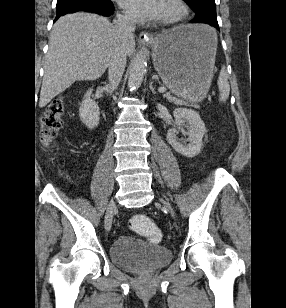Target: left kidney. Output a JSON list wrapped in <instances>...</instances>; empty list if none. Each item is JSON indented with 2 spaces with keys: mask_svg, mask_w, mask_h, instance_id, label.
Here are the masks:
<instances>
[{
  "mask_svg": "<svg viewBox=\"0 0 286 308\" xmlns=\"http://www.w3.org/2000/svg\"><path fill=\"white\" fill-rule=\"evenodd\" d=\"M173 114L175 126L168 130L167 141L176 152L183 156L189 158L197 156L201 151L202 138L206 130L199 113L192 109L176 108ZM184 128H186V131ZM179 132L188 136V145L177 137Z\"/></svg>",
  "mask_w": 286,
  "mask_h": 308,
  "instance_id": "left-kidney-1",
  "label": "left kidney"
}]
</instances>
